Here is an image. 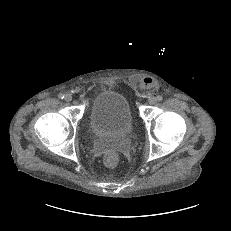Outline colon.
Wrapping results in <instances>:
<instances>
[{"mask_svg": "<svg viewBox=\"0 0 231 231\" xmlns=\"http://www.w3.org/2000/svg\"><path fill=\"white\" fill-rule=\"evenodd\" d=\"M104 162L107 166L114 167L119 162V156L114 151H109L104 156Z\"/></svg>", "mask_w": 231, "mask_h": 231, "instance_id": "5ec220e1", "label": "colon"}]
</instances>
